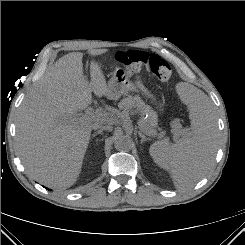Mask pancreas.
<instances>
[{
  "instance_id": "1",
  "label": "pancreas",
  "mask_w": 245,
  "mask_h": 245,
  "mask_svg": "<svg viewBox=\"0 0 245 245\" xmlns=\"http://www.w3.org/2000/svg\"><path fill=\"white\" fill-rule=\"evenodd\" d=\"M119 108L130 110L137 109L142 115L148 114V118L144 120L146 128L149 130L151 136H155L157 133L158 119L157 114L152 110L149 105H146L139 96L128 95L126 98L122 99L119 103ZM178 133V129H175Z\"/></svg>"
}]
</instances>
